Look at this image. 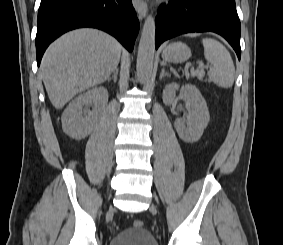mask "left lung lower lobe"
<instances>
[{
	"label": "left lung lower lobe",
	"mask_w": 283,
	"mask_h": 245,
	"mask_svg": "<svg viewBox=\"0 0 283 245\" xmlns=\"http://www.w3.org/2000/svg\"><path fill=\"white\" fill-rule=\"evenodd\" d=\"M215 32L241 56V25L235 0H170L156 17V49L172 37L188 32Z\"/></svg>",
	"instance_id": "left-lung-lower-lobe-1"
}]
</instances>
